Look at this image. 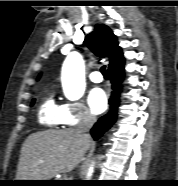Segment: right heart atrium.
<instances>
[{"label": "right heart atrium", "mask_w": 178, "mask_h": 186, "mask_svg": "<svg viewBox=\"0 0 178 186\" xmlns=\"http://www.w3.org/2000/svg\"><path fill=\"white\" fill-rule=\"evenodd\" d=\"M65 123L69 126L91 123L95 116L92 112L80 102H71L64 105Z\"/></svg>", "instance_id": "1"}]
</instances>
